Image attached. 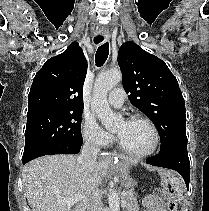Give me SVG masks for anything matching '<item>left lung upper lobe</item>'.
Instances as JSON below:
<instances>
[{
	"label": "left lung upper lobe",
	"instance_id": "5c2ea615",
	"mask_svg": "<svg viewBox=\"0 0 209 211\" xmlns=\"http://www.w3.org/2000/svg\"><path fill=\"white\" fill-rule=\"evenodd\" d=\"M118 64L130 102L145 113L159 131L160 152L187 142L184 98L166 63L128 41L119 49Z\"/></svg>",
	"mask_w": 209,
	"mask_h": 211
}]
</instances>
